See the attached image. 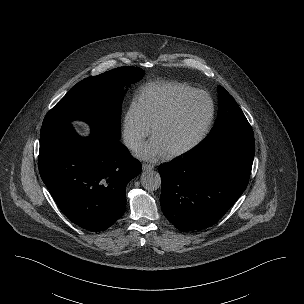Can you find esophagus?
Instances as JSON below:
<instances>
[{
    "label": "esophagus",
    "instance_id": "obj_1",
    "mask_svg": "<svg viewBox=\"0 0 304 304\" xmlns=\"http://www.w3.org/2000/svg\"><path fill=\"white\" fill-rule=\"evenodd\" d=\"M154 168V165L152 164H147V163H143L142 164V169L145 171V170H151Z\"/></svg>",
    "mask_w": 304,
    "mask_h": 304
}]
</instances>
